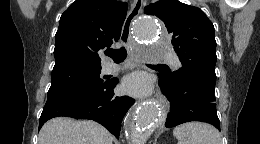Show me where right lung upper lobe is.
<instances>
[{"instance_id":"1","label":"right lung upper lobe","mask_w":260,"mask_h":144,"mask_svg":"<svg viewBox=\"0 0 260 144\" xmlns=\"http://www.w3.org/2000/svg\"><path fill=\"white\" fill-rule=\"evenodd\" d=\"M127 3L76 0L62 14L55 37V66H101L99 52L118 41Z\"/></svg>"}]
</instances>
